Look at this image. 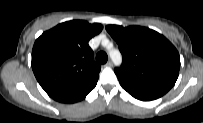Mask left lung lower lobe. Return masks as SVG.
<instances>
[{
    "mask_svg": "<svg viewBox=\"0 0 203 123\" xmlns=\"http://www.w3.org/2000/svg\"><path fill=\"white\" fill-rule=\"evenodd\" d=\"M121 86L134 98L142 101H151L161 97L163 94H160L155 91L147 90L139 86H135L124 81L119 80Z\"/></svg>",
    "mask_w": 203,
    "mask_h": 123,
    "instance_id": "left-lung-lower-lobe-1",
    "label": "left lung lower lobe"
}]
</instances>
